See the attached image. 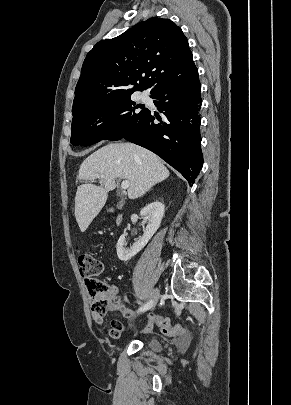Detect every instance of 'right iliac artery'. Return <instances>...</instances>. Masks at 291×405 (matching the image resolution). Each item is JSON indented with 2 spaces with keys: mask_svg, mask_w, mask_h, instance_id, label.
I'll return each mask as SVG.
<instances>
[{
  "mask_svg": "<svg viewBox=\"0 0 291 405\" xmlns=\"http://www.w3.org/2000/svg\"><path fill=\"white\" fill-rule=\"evenodd\" d=\"M151 306H152V301L150 300V301H148L147 303H145L142 307H140V308L138 309V311H139V312L146 311V310L150 309Z\"/></svg>",
  "mask_w": 291,
  "mask_h": 405,
  "instance_id": "82829eb1",
  "label": "right iliac artery"
}]
</instances>
